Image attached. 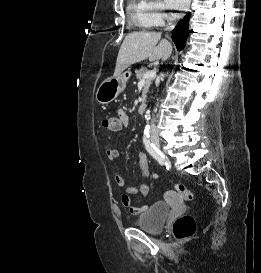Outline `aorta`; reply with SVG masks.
I'll use <instances>...</instances> for the list:
<instances>
[{"instance_id": "762f6f07", "label": "aorta", "mask_w": 261, "mask_h": 273, "mask_svg": "<svg viewBox=\"0 0 261 273\" xmlns=\"http://www.w3.org/2000/svg\"><path fill=\"white\" fill-rule=\"evenodd\" d=\"M149 114H150V111H147V114H146V116H145L147 120L150 119V115H149Z\"/></svg>"}]
</instances>
